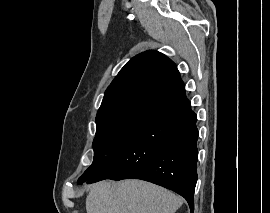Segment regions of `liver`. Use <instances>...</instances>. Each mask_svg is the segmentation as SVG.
Wrapping results in <instances>:
<instances>
[{
  "label": "liver",
  "mask_w": 270,
  "mask_h": 213,
  "mask_svg": "<svg viewBox=\"0 0 270 213\" xmlns=\"http://www.w3.org/2000/svg\"><path fill=\"white\" fill-rule=\"evenodd\" d=\"M183 200L173 192L140 180L99 182L86 198L87 213H175Z\"/></svg>",
  "instance_id": "6515ba94"
}]
</instances>
